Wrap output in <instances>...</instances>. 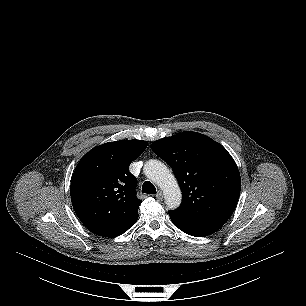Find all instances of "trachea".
<instances>
[{"mask_svg":"<svg viewBox=\"0 0 306 306\" xmlns=\"http://www.w3.org/2000/svg\"><path fill=\"white\" fill-rule=\"evenodd\" d=\"M142 192L147 194H156V188L151 182L145 181L142 186Z\"/></svg>","mask_w":306,"mask_h":306,"instance_id":"obj_1","label":"trachea"}]
</instances>
